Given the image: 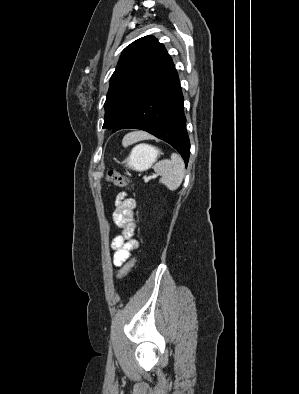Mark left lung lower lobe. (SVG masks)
Wrapping results in <instances>:
<instances>
[{
    "mask_svg": "<svg viewBox=\"0 0 299 394\" xmlns=\"http://www.w3.org/2000/svg\"><path fill=\"white\" fill-rule=\"evenodd\" d=\"M183 101L178 74L172 64L142 93L113 132L128 128L147 131L172 145L187 166L190 142Z\"/></svg>",
    "mask_w": 299,
    "mask_h": 394,
    "instance_id": "1",
    "label": "left lung lower lobe"
}]
</instances>
